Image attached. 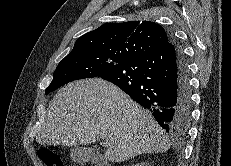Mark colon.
I'll return each instance as SVG.
<instances>
[{
  "instance_id": "colon-1",
  "label": "colon",
  "mask_w": 231,
  "mask_h": 166,
  "mask_svg": "<svg viewBox=\"0 0 231 166\" xmlns=\"http://www.w3.org/2000/svg\"><path fill=\"white\" fill-rule=\"evenodd\" d=\"M39 157L45 166H64L59 154L52 150L43 149L39 152Z\"/></svg>"
}]
</instances>
